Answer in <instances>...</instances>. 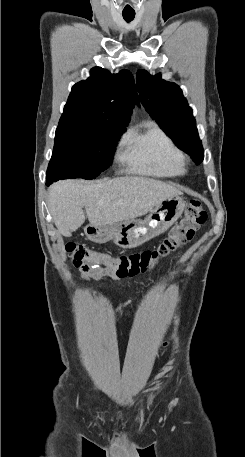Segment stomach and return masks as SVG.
Returning a JSON list of instances; mask_svg holds the SVG:
<instances>
[{"label":"stomach","mask_w":245,"mask_h":457,"mask_svg":"<svg viewBox=\"0 0 245 457\" xmlns=\"http://www.w3.org/2000/svg\"><path fill=\"white\" fill-rule=\"evenodd\" d=\"M184 206L185 200L176 194L161 200L153 210H150V214L144 220L131 218V220H121L107 226L87 224L84 233L93 243H106L113 239L115 245L121 249H135L168 231L181 216Z\"/></svg>","instance_id":"1"}]
</instances>
